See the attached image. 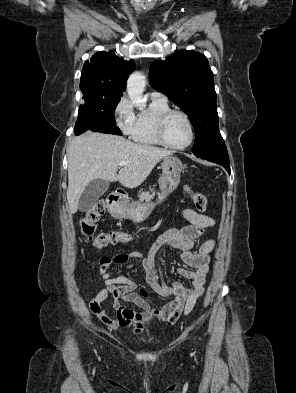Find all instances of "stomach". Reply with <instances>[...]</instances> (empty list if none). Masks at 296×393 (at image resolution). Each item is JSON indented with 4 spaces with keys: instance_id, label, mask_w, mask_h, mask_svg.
<instances>
[{
    "instance_id": "0dacf381",
    "label": "stomach",
    "mask_w": 296,
    "mask_h": 393,
    "mask_svg": "<svg viewBox=\"0 0 296 393\" xmlns=\"http://www.w3.org/2000/svg\"><path fill=\"white\" fill-rule=\"evenodd\" d=\"M162 175L159 179V201L150 203L135 201L131 203H119L115 209V215L121 219H129L133 222H142L151 214L156 204L163 201L179 185L180 175L184 169L183 163L176 157H165L161 164Z\"/></svg>"
}]
</instances>
